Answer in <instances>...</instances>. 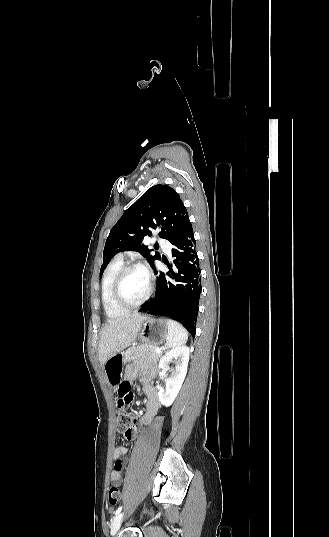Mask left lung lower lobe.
<instances>
[{"label":"left lung lower lobe","instance_id":"0a47b994","mask_svg":"<svg viewBox=\"0 0 329 537\" xmlns=\"http://www.w3.org/2000/svg\"><path fill=\"white\" fill-rule=\"evenodd\" d=\"M174 266L167 263L171 272L164 274L154 269L157 276L153 298L143 304L142 311L168 316L180 322L193 336L198 316L201 293L200 268L192 224L189 223L171 243Z\"/></svg>","mask_w":329,"mask_h":537}]
</instances>
